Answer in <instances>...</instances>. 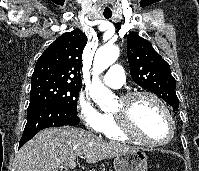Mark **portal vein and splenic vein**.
I'll list each match as a JSON object with an SVG mask.
<instances>
[{
  "label": "portal vein and splenic vein",
  "instance_id": "1",
  "mask_svg": "<svg viewBox=\"0 0 199 171\" xmlns=\"http://www.w3.org/2000/svg\"><path fill=\"white\" fill-rule=\"evenodd\" d=\"M68 165H69L70 168L74 169L76 167V162L72 161Z\"/></svg>",
  "mask_w": 199,
  "mask_h": 171
}]
</instances>
